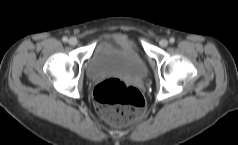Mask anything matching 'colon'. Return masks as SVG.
I'll return each mask as SVG.
<instances>
[{"instance_id": "colon-1", "label": "colon", "mask_w": 238, "mask_h": 145, "mask_svg": "<svg viewBox=\"0 0 238 145\" xmlns=\"http://www.w3.org/2000/svg\"><path fill=\"white\" fill-rule=\"evenodd\" d=\"M95 106L106 120L122 124L139 119L145 112L141 92L117 78H109L94 89Z\"/></svg>"}]
</instances>
